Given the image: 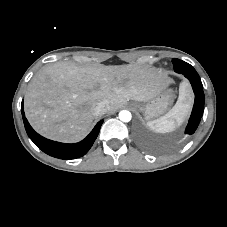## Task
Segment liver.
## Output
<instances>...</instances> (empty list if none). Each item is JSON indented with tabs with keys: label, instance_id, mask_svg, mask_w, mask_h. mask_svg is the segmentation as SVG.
<instances>
[{
	"label": "liver",
	"instance_id": "liver-1",
	"mask_svg": "<svg viewBox=\"0 0 227 227\" xmlns=\"http://www.w3.org/2000/svg\"><path fill=\"white\" fill-rule=\"evenodd\" d=\"M171 80L160 71L134 65L80 67L70 62L48 64L32 79L24 101L31 126L41 135L77 142L91 130L96 102L106 100L107 112L127 101H148ZM184 85H181L182 90Z\"/></svg>",
	"mask_w": 227,
	"mask_h": 227
}]
</instances>
